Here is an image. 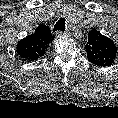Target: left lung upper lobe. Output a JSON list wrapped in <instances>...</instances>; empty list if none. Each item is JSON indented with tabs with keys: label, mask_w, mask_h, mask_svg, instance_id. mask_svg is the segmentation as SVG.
Masks as SVG:
<instances>
[{
	"label": "left lung upper lobe",
	"mask_w": 118,
	"mask_h": 118,
	"mask_svg": "<svg viewBox=\"0 0 118 118\" xmlns=\"http://www.w3.org/2000/svg\"><path fill=\"white\" fill-rule=\"evenodd\" d=\"M88 60L101 67L110 66L115 59L117 47L113 41L92 29L88 34V43L85 46Z\"/></svg>",
	"instance_id": "5c2ea615"
}]
</instances>
